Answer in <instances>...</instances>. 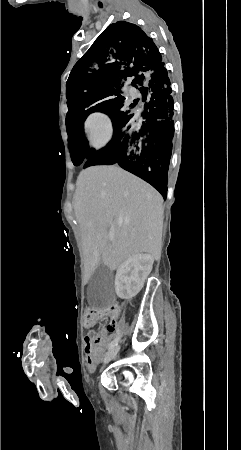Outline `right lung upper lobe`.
<instances>
[{
    "instance_id": "1",
    "label": "right lung upper lobe",
    "mask_w": 241,
    "mask_h": 450,
    "mask_svg": "<svg viewBox=\"0 0 241 450\" xmlns=\"http://www.w3.org/2000/svg\"><path fill=\"white\" fill-rule=\"evenodd\" d=\"M163 66L153 40L137 25L118 21L101 33L71 74L95 86L121 90L130 78L131 85L141 87V76Z\"/></svg>"
}]
</instances>
